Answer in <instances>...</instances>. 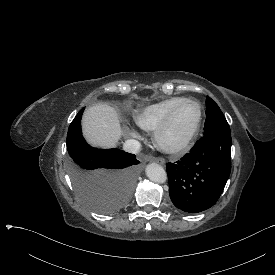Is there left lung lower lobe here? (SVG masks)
I'll return each instance as SVG.
<instances>
[{"label":"left lung lower lobe","instance_id":"0a47b994","mask_svg":"<svg viewBox=\"0 0 275 275\" xmlns=\"http://www.w3.org/2000/svg\"><path fill=\"white\" fill-rule=\"evenodd\" d=\"M230 170V131L202 137L190 153L166 165L172 203L187 213L212 207L223 192Z\"/></svg>","mask_w":275,"mask_h":275}]
</instances>
